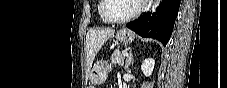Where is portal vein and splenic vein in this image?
Segmentation results:
<instances>
[{
  "mask_svg": "<svg viewBox=\"0 0 227 88\" xmlns=\"http://www.w3.org/2000/svg\"><path fill=\"white\" fill-rule=\"evenodd\" d=\"M123 56H124V57L128 56V52H127V51H124V52H123Z\"/></svg>",
  "mask_w": 227,
  "mask_h": 88,
  "instance_id": "obj_1",
  "label": "portal vein and splenic vein"
}]
</instances>
